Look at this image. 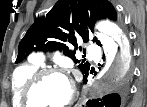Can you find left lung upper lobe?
I'll list each match as a JSON object with an SVG mask.
<instances>
[{"mask_svg": "<svg viewBox=\"0 0 147 107\" xmlns=\"http://www.w3.org/2000/svg\"><path fill=\"white\" fill-rule=\"evenodd\" d=\"M98 20L117 21V12L108 0H59L46 17L37 18L28 29L19 44L15 63L21 62L32 51H60L79 63L83 75L87 74L90 64L75 58L77 40L82 38L83 42H88ZM93 42L101 46L96 38Z\"/></svg>", "mask_w": 147, "mask_h": 107, "instance_id": "obj_1", "label": "left lung upper lobe"}]
</instances>
